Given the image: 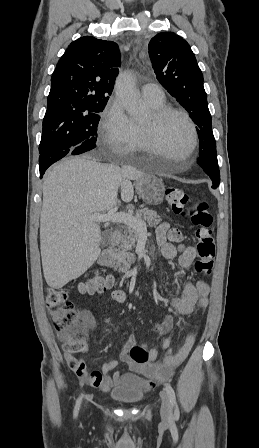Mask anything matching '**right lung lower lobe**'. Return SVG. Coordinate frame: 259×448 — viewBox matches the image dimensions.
<instances>
[{"instance_id": "right-lung-lower-lobe-1", "label": "right lung lower lobe", "mask_w": 259, "mask_h": 448, "mask_svg": "<svg viewBox=\"0 0 259 448\" xmlns=\"http://www.w3.org/2000/svg\"><path fill=\"white\" fill-rule=\"evenodd\" d=\"M67 154H71V151L64 150V151H55V152H45V153L40 154V157H39L40 178H42L44 172L50 165H52L54 162L60 160Z\"/></svg>"}]
</instances>
